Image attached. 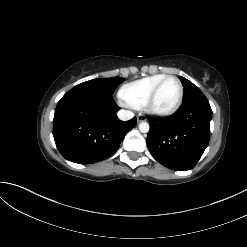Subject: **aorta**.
I'll return each instance as SVG.
<instances>
[{
	"label": "aorta",
	"instance_id": "762f6f07",
	"mask_svg": "<svg viewBox=\"0 0 247 247\" xmlns=\"http://www.w3.org/2000/svg\"><path fill=\"white\" fill-rule=\"evenodd\" d=\"M149 129H150V126H149V124L147 122H141L139 124L140 132L147 133L149 131Z\"/></svg>",
	"mask_w": 247,
	"mask_h": 247
}]
</instances>
